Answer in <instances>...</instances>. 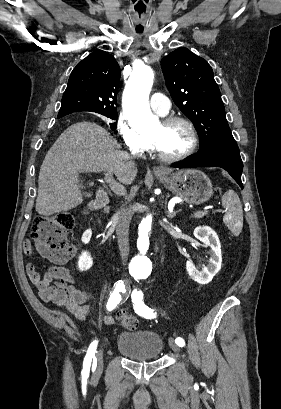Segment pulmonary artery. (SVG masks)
Returning <instances> with one entry per match:
<instances>
[{
  "instance_id": "e3ab8cb5",
  "label": "pulmonary artery",
  "mask_w": 281,
  "mask_h": 409,
  "mask_svg": "<svg viewBox=\"0 0 281 409\" xmlns=\"http://www.w3.org/2000/svg\"><path fill=\"white\" fill-rule=\"evenodd\" d=\"M170 103V98L164 97V92L162 90H155L153 92V97H149L147 105L151 106L152 111H155L160 115H165L168 112V106Z\"/></svg>"
}]
</instances>
